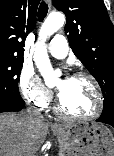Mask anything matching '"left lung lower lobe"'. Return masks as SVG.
Wrapping results in <instances>:
<instances>
[{
    "mask_svg": "<svg viewBox=\"0 0 114 156\" xmlns=\"http://www.w3.org/2000/svg\"><path fill=\"white\" fill-rule=\"evenodd\" d=\"M97 121L102 122V123L109 124V125H111V126L114 127V118L113 117H104V116H101L99 119H97Z\"/></svg>",
    "mask_w": 114,
    "mask_h": 156,
    "instance_id": "0a47b994",
    "label": "left lung lower lobe"
}]
</instances>
